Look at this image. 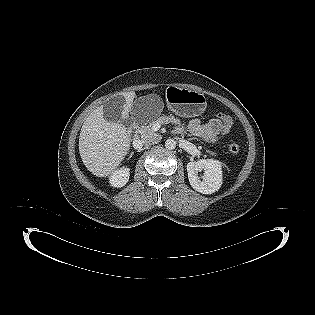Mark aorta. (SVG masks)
Segmentation results:
<instances>
[{
	"label": "aorta",
	"instance_id": "obj_1",
	"mask_svg": "<svg viewBox=\"0 0 315 315\" xmlns=\"http://www.w3.org/2000/svg\"><path fill=\"white\" fill-rule=\"evenodd\" d=\"M165 147L169 150L175 149L176 141L174 139H167L165 142Z\"/></svg>",
	"mask_w": 315,
	"mask_h": 315
}]
</instances>
